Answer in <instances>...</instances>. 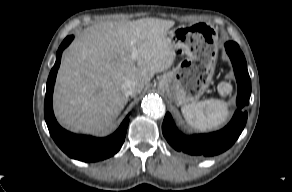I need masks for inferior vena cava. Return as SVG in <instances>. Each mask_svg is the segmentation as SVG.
Returning <instances> with one entry per match:
<instances>
[{
    "mask_svg": "<svg viewBox=\"0 0 292 192\" xmlns=\"http://www.w3.org/2000/svg\"><path fill=\"white\" fill-rule=\"evenodd\" d=\"M121 88L126 96H131L134 94L136 87L133 81L126 80L123 82Z\"/></svg>",
    "mask_w": 292,
    "mask_h": 192,
    "instance_id": "obj_1",
    "label": "inferior vena cava"
}]
</instances>
